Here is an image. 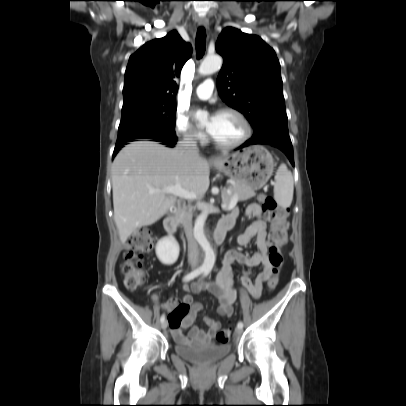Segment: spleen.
<instances>
[{
  "mask_svg": "<svg viewBox=\"0 0 406 406\" xmlns=\"http://www.w3.org/2000/svg\"><path fill=\"white\" fill-rule=\"evenodd\" d=\"M294 181L285 164H281L275 175L274 199L279 206L287 208L293 200Z\"/></svg>",
  "mask_w": 406,
  "mask_h": 406,
  "instance_id": "obj_1",
  "label": "spleen"
}]
</instances>
